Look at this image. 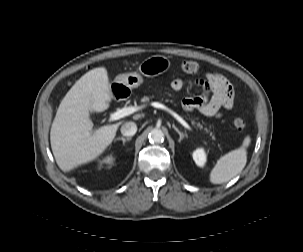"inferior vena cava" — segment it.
Here are the masks:
<instances>
[{
  "label": "inferior vena cava",
  "instance_id": "inferior-vena-cava-1",
  "mask_svg": "<svg viewBox=\"0 0 303 252\" xmlns=\"http://www.w3.org/2000/svg\"><path fill=\"white\" fill-rule=\"evenodd\" d=\"M137 131V125L134 122H126L121 126V133L124 136H133Z\"/></svg>",
  "mask_w": 303,
  "mask_h": 252
}]
</instances>
